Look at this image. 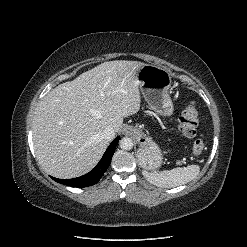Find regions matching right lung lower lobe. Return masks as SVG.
Masks as SVG:
<instances>
[{
    "instance_id": "obj_1",
    "label": "right lung lower lobe",
    "mask_w": 247,
    "mask_h": 247,
    "mask_svg": "<svg viewBox=\"0 0 247 247\" xmlns=\"http://www.w3.org/2000/svg\"><path fill=\"white\" fill-rule=\"evenodd\" d=\"M119 139L120 137H116L114 139V141L107 148L100 162L89 173L81 177L67 179V180L52 177L53 180H55L58 183L72 187H88L96 184L100 180L101 176L106 172L107 168L109 167Z\"/></svg>"
}]
</instances>
